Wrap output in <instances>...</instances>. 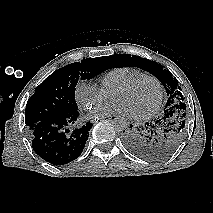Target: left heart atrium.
Masks as SVG:
<instances>
[{"instance_id":"1","label":"left heart atrium","mask_w":213,"mask_h":213,"mask_svg":"<svg viewBox=\"0 0 213 213\" xmlns=\"http://www.w3.org/2000/svg\"><path fill=\"white\" fill-rule=\"evenodd\" d=\"M110 115L131 116L132 113L128 106L121 101H114L113 103L98 105L90 112V116L92 118Z\"/></svg>"}]
</instances>
